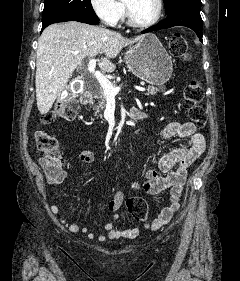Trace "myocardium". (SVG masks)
<instances>
[{"instance_id":"1","label":"myocardium","mask_w":240,"mask_h":281,"mask_svg":"<svg viewBox=\"0 0 240 281\" xmlns=\"http://www.w3.org/2000/svg\"><path fill=\"white\" fill-rule=\"evenodd\" d=\"M125 6V14L128 25L134 28H148L155 25L159 19L161 18L162 11H163V0H156V12L152 19L146 22H137L133 19L130 8L124 1Z\"/></svg>"}]
</instances>
